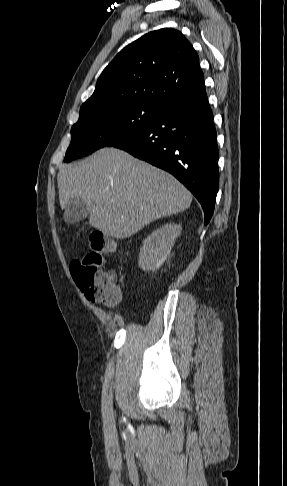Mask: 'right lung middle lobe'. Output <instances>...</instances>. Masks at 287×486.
I'll use <instances>...</instances> for the list:
<instances>
[{
	"label": "right lung middle lobe",
	"mask_w": 287,
	"mask_h": 486,
	"mask_svg": "<svg viewBox=\"0 0 287 486\" xmlns=\"http://www.w3.org/2000/svg\"><path fill=\"white\" fill-rule=\"evenodd\" d=\"M165 112L150 101H120L80 110L64 161L86 156L102 147L124 143L140 134Z\"/></svg>",
	"instance_id": "right-lung-middle-lobe-1"
}]
</instances>
